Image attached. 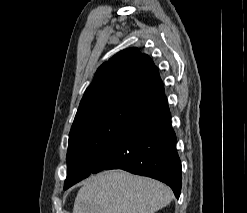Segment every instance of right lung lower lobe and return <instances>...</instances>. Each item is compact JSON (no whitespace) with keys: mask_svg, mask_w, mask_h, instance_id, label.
Returning <instances> with one entry per match:
<instances>
[{"mask_svg":"<svg viewBox=\"0 0 247 213\" xmlns=\"http://www.w3.org/2000/svg\"><path fill=\"white\" fill-rule=\"evenodd\" d=\"M108 169L160 180L179 198L181 163L164 88L131 102L129 116L114 141L100 153L93 173Z\"/></svg>","mask_w":247,"mask_h":213,"instance_id":"right-lung-lower-lobe-1","label":"right lung lower lobe"}]
</instances>
